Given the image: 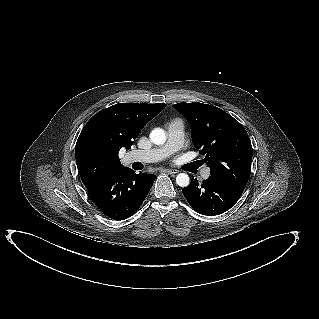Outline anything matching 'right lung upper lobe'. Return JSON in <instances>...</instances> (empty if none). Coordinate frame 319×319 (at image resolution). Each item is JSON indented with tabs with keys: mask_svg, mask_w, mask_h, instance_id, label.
Listing matches in <instances>:
<instances>
[{
	"mask_svg": "<svg viewBox=\"0 0 319 319\" xmlns=\"http://www.w3.org/2000/svg\"><path fill=\"white\" fill-rule=\"evenodd\" d=\"M166 104L119 103L95 114L82 129L75 147L77 168L87 189L124 169L118 157L130 149L148 121Z\"/></svg>",
	"mask_w": 319,
	"mask_h": 319,
	"instance_id": "cb5924a9",
	"label": "right lung upper lobe"
}]
</instances>
